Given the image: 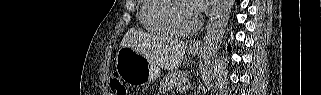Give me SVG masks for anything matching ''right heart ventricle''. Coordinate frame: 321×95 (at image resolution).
I'll return each instance as SVG.
<instances>
[{"mask_svg":"<svg viewBox=\"0 0 321 95\" xmlns=\"http://www.w3.org/2000/svg\"><path fill=\"white\" fill-rule=\"evenodd\" d=\"M166 0H143L140 6V21L147 31L156 35H170L171 32L160 19V10Z\"/></svg>","mask_w":321,"mask_h":95,"instance_id":"right-heart-ventricle-1","label":"right heart ventricle"}]
</instances>
